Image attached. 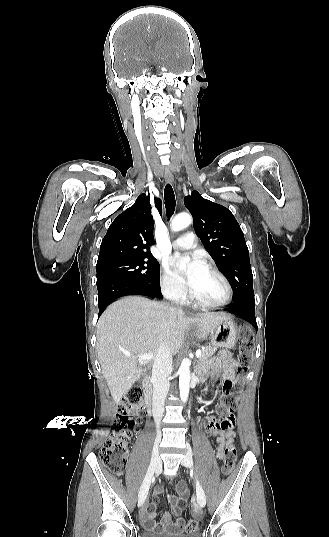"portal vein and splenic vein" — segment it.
I'll list each match as a JSON object with an SVG mask.
<instances>
[{
    "instance_id": "1",
    "label": "portal vein and splenic vein",
    "mask_w": 329,
    "mask_h": 537,
    "mask_svg": "<svg viewBox=\"0 0 329 537\" xmlns=\"http://www.w3.org/2000/svg\"><path fill=\"white\" fill-rule=\"evenodd\" d=\"M124 354H125V356H127V357L130 356V353H128V352H125ZM201 356H202V351H201V350L196 351V357H197V358H200ZM152 358H153V355H151V354H145V355H140V356L138 357V360H139V361H147V360H151Z\"/></svg>"
}]
</instances>
